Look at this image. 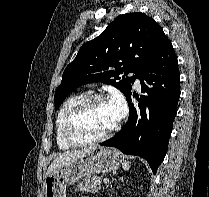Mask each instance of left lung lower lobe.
Here are the masks:
<instances>
[{
    "label": "left lung lower lobe",
    "instance_id": "0a47b994",
    "mask_svg": "<svg viewBox=\"0 0 209 197\" xmlns=\"http://www.w3.org/2000/svg\"><path fill=\"white\" fill-rule=\"evenodd\" d=\"M137 78L141 82V91L146 93L141 97L140 109L134 107L131 92L127 97L128 122L118 134L101 145L143 157L155 174L167 152L180 97L177 57L168 38Z\"/></svg>",
    "mask_w": 209,
    "mask_h": 197
}]
</instances>
